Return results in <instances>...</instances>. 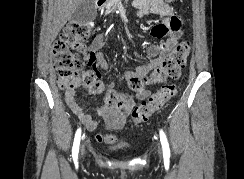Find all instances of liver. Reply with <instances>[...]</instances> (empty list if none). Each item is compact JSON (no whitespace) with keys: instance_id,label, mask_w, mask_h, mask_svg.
I'll return each mask as SVG.
<instances>
[{"instance_id":"1","label":"liver","mask_w":244,"mask_h":179,"mask_svg":"<svg viewBox=\"0 0 244 179\" xmlns=\"http://www.w3.org/2000/svg\"><path fill=\"white\" fill-rule=\"evenodd\" d=\"M80 2L82 0H57L56 14L51 26V40H55L57 34L65 26L67 20H70Z\"/></svg>"}]
</instances>
